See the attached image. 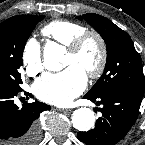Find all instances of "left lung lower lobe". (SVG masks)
<instances>
[{
	"instance_id": "1",
	"label": "left lung lower lobe",
	"mask_w": 145,
	"mask_h": 145,
	"mask_svg": "<svg viewBox=\"0 0 145 145\" xmlns=\"http://www.w3.org/2000/svg\"><path fill=\"white\" fill-rule=\"evenodd\" d=\"M85 99L102 104V117L97 119L95 128L78 132L80 141L87 145H115L136 121L142 97L127 91H115L99 97L85 95Z\"/></svg>"
}]
</instances>
